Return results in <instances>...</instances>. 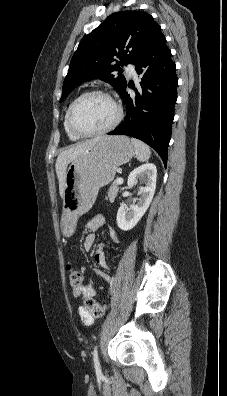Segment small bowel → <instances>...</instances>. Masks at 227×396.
Wrapping results in <instances>:
<instances>
[{"label": "small bowel", "instance_id": "small-bowel-1", "mask_svg": "<svg viewBox=\"0 0 227 396\" xmlns=\"http://www.w3.org/2000/svg\"><path fill=\"white\" fill-rule=\"evenodd\" d=\"M106 221L103 215H96L94 216L91 220H89L86 224V229L89 232L83 242V247L85 250H90L94 243H95V235L93 232L97 231L101 227L105 225ZM109 235L111 240L114 243L119 242V236L116 233L115 230L110 229L109 230ZM95 262L96 264L102 268V269H107L108 265L104 256L103 252V245H99L95 254ZM97 282H104L111 286L112 281L111 278L108 274L101 270H97L94 272L92 278L90 279L89 283L82 285L78 289V294H76V291L74 290V294L78 297L82 298H94L96 297V288L95 285ZM79 316L84 322L85 325H91L94 321V316L86 310L83 306H80L78 309Z\"/></svg>", "mask_w": 227, "mask_h": 396}]
</instances>
